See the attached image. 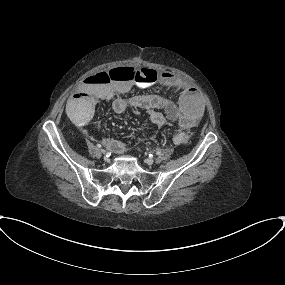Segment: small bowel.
Here are the masks:
<instances>
[{"instance_id": "small-bowel-1", "label": "small bowel", "mask_w": 285, "mask_h": 285, "mask_svg": "<svg viewBox=\"0 0 285 285\" xmlns=\"http://www.w3.org/2000/svg\"><path fill=\"white\" fill-rule=\"evenodd\" d=\"M119 66L113 69H121ZM101 70L87 78L81 88L70 96L66 102V113L77 126L86 125L93 117L98 100L111 101V109L122 114L129 109L146 111L150 120L157 128H162L168 120L178 125L173 133V141L180 144L178 134H185L187 142L190 138V129L198 124L203 116V106L190 84L172 72L158 74L156 82L139 81L137 83L124 82L109 76L111 70ZM149 70V69H148ZM105 75L109 82L102 84L97 77ZM141 76V75H140ZM145 78V75H142ZM158 86L173 92L178 96L177 102L170 101L156 94L134 95L129 98L123 95L137 87ZM88 134V132H86ZM90 137L92 135L88 134ZM104 145L114 153H123L128 149L124 141L104 138ZM186 143V142H183Z\"/></svg>"}]
</instances>
